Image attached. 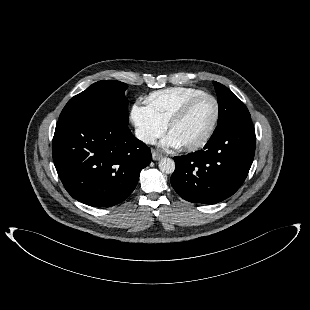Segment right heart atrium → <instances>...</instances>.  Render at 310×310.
I'll return each mask as SVG.
<instances>
[{
	"label": "right heart atrium",
	"instance_id": "1",
	"mask_svg": "<svg viewBox=\"0 0 310 310\" xmlns=\"http://www.w3.org/2000/svg\"><path fill=\"white\" fill-rule=\"evenodd\" d=\"M130 120L135 129L136 137L145 144H152L160 137L167 125L157 119L147 105L135 103L130 112Z\"/></svg>",
	"mask_w": 310,
	"mask_h": 310
}]
</instances>
